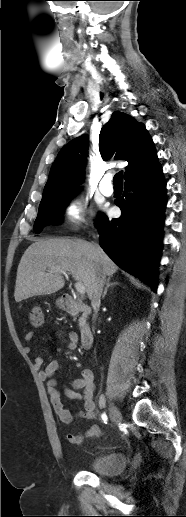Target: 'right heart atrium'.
Listing matches in <instances>:
<instances>
[{"instance_id": "d8ad5b80", "label": "right heart atrium", "mask_w": 186, "mask_h": 517, "mask_svg": "<svg viewBox=\"0 0 186 517\" xmlns=\"http://www.w3.org/2000/svg\"><path fill=\"white\" fill-rule=\"evenodd\" d=\"M89 213L88 203L80 197L70 200L63 210V215L67 224L72 227H77L84 223L87 220Z\"/></svg>"}]
</instances>
